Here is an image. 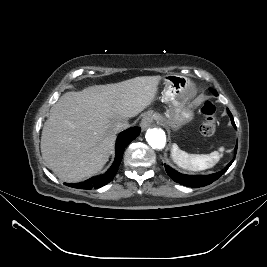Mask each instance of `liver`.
<instances>
[{"mask_svg": "<svg viewBox=\"0 0 267 267\" xmlns=\"http://www.w3.org/2000/svg\"><path fill=\"white\" fill-rule=\"evenodd\" d=\"M161 76L67 92L51 107L41 136L46 166L64 182H79L107 163L116 139L114 124L150 106Z\"/></svg>", "mask_w": 267, "mask_h": 267, "instance_id": "1", "label": "liver"}]
</instances>
